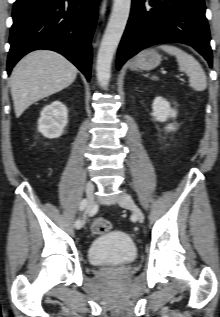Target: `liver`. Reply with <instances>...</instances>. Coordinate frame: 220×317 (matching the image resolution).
<instances>
[{
	"label": "liver",
	"mask_w": 220,
	"mask_h": 317,
	"mask_svg": "<svg viewBox=\"0 0 220 317\" xmlns=\"http://www.w3.org/2000/svg\"><path fill=\"white\" fill-rule=\"evenodd\" d=\"M78 69L64 56L50 50L26 55L10 77L11 95L17 118L33 103L57 93L76 79Z\"/></svg>",
	"instance_id": "1"
}]
</instances>
